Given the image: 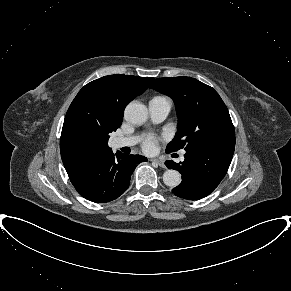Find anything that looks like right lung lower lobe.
I'll return each mask as SVG.
<instances>
[{"instance_id": "98d812e1", "label": "right lung lower lobe", "mask_w": 291, "mask_h": 291, "mask_svg": "<svg viewBox=\"0 0 291 291\" xmlns=\"http://www.w3.org/2000/svg\"><path fill=\"white\" fill-rule=\"evenodd\" d=\"M146 161L147 158L141 155L112 152L93 165L73 185L78 193L89 201L109 202L126 191L135 166Z\"/></svg>"}]
</instances>
